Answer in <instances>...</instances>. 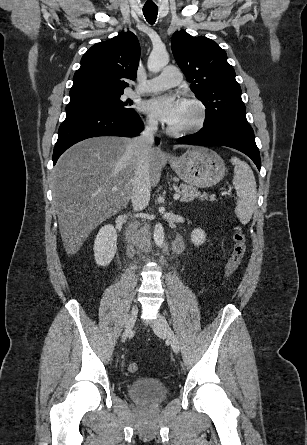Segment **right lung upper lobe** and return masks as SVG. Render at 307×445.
Here are the masks:
<instances>
[{
  "label": "right lung upper lobe",
  "instance_id": "right-lung-upper-lobe-1",
  "mask_svg": "<svg viewBox=\"0 0 307 445\" xmlns=\"http://www.w3.org/2000/svg\"><path fill=\"white\" fill-rule=\"evenodd\" d=\"M140 58V45L132 32L93 45L82 57L73 77L70 98L123 94L135 80Z\"/></svg>",
  "mask_w": 307,
  "mask_h": 445
}]
</instances>
